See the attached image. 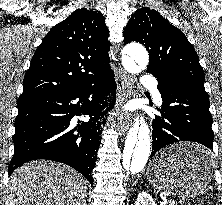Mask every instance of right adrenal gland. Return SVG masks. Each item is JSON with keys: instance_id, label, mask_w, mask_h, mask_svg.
<instances>
[{"instance_id": "obj_1", "label": "right adrenal gland", "mask_w": 222, "mask_h": 205, "mask_svg": "<svg viewBox=\"0 0 222 205\" xmlns=\"http://www.w3.org/2000/svg\"><path fill=\"white\" fill-rule=\"evenodd\" d=\"M83 205H86V200H84V204Z\"/></svg>"}]
</instances>
